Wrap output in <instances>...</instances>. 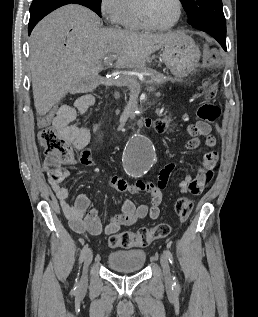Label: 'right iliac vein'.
Listing matches in <instances>:
<instances>
[{"label":"right iliac vein","mask_w":258,"mask_h":317,"mask_svg":"<svg viewBox=\"0 0 258 317\" xmlns=\"http://www.w3.org/2000/svg\"><path fill=\"white\" fill-rule=\"evenodd\" d=\"M92 255H93V250H88L87 255L84 258L83 266H82V271H83V276H88V268L90 267L91 261H92Z\"/></svg>","instance_id":"obj_1"}]
</instances>
